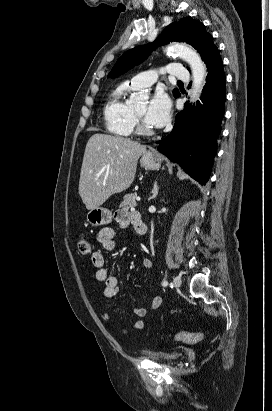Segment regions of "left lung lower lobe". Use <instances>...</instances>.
Listing matches in <instances>:
<instances>
[{
  "instance_id": "1",
  "label": "left lung lower lobe",
  "mask_w": 272,
  "mask_h": 411,
  "mask_svg": "<svg viewBox=\"0 0 272 411\" xmlns=\"http://www.w3.org/2000/svg\"><path fill=\"white\" fill-rule=\"evenodd\" d=\"M205 64L208 74L200 101L193 106L186 104L176 115L171 133L157 142L159 152L202 185L209 179L226 98V79L218 48L211 52Z\"/></svg>"
}]
</instances>
